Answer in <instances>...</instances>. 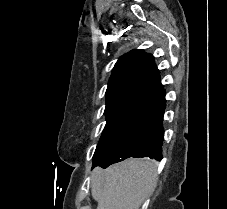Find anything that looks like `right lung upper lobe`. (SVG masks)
<instances>
[{"label": "right lung upper lobe", "instance_id": "right-lung-upper-lobe-1", "mask_svg": "<svg viewBox=\"0 0 227 209\" xmlns=\"http://www.w3.org/2000/svg\"><path fill=\"white\" fill-rule=\"evenodd\" d=\"M123 99L154 108L165 99L154 57L143 50H133L117 61L108 82L106 108Z\"/></svg>", "mask_w": 227, "mask_h": 209}]
</instances>
